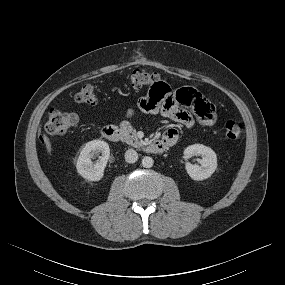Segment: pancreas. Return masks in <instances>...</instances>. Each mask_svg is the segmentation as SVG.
Listing matches in <instances>:
<instances>
[{
	"instance_id": "cf45deb5",
	"label": "pancreas",
	"mask_w": 285,
	"mask_h": 285,
	"mask_svg": "<svg viewBox=\"0 0 285 285\" xmlns=\"http://www.w3.org/2000/svg\"><path fill=\"white\" fill-rule=\"evenodd\" d=\"M121 129L124 135V141L133 147L142 146V142L138 140L136 131L128 123L121 124Z\"/></svg>"
}]
</instances>
